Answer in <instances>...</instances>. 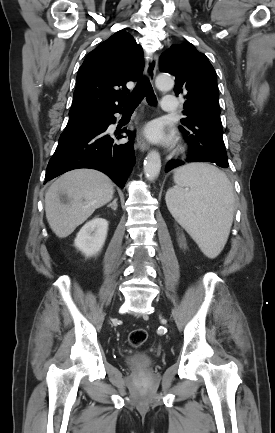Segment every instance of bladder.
I'll list each match as a JSON object with an SVG mask.
<instances>
[{
    "instance_id": "31cf9c89",
    "label": "bladder",
    "mask_w": 275,
    "mask_h": 433,
    "mask_svg": "<svg viewBox=\"0 0 275 433\" xmlns=\"http://www.w3.org/2000/svg\"><path fill=\"white\" fill-rule=\"evenodd\" d=\"M127 363L136 368L149 367L152 364V358L147 353H139L128 356Z\"/></svg>"
}]
</instances>
